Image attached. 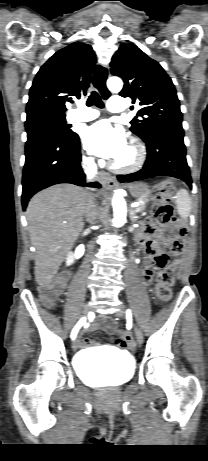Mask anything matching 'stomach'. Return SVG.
<instances>
[{
	"label": "stomach",
	"instance_id": "stomach-1",
	"mask_svg": "<svg viewBox=\"0 0 208 461\" xmlns=\"http://www.w3.org/2000/svg\"><path fill=\"white\" fill-rule=\"evenodd\" d=\"M128 188H129L130 193L132 194V196H134L137 199H141L143 197H146L149 194L148 186L145 183H142V182H137V183L130 184L128 186Z\"/></svg>",
	"mask_w": 208,
	"mask_h": 461
}]
</instances>
